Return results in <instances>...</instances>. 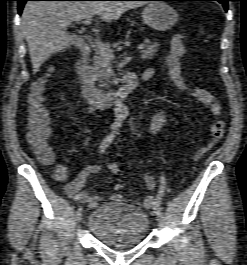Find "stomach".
Listing matches in <instances>:
<instances>
[{
    "mask_svg": "<svg viewBox=\"0 0 247 265\" xmlns=\"http://www.w3.org/2000/svg\"><path fill=\"white\" fill-rule=\"evenodd\" d=\"M144 22L154 30L166 31L178 20L177 12L165 2H151L143 12Z\"/></svg>",
    "mask_w": 247,
    "mask_h": 265,
    "instance_id": "stomach-1",
    "label": "stomach"
}]
</instances>
